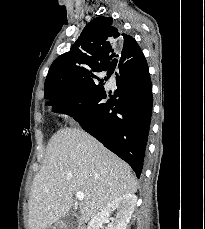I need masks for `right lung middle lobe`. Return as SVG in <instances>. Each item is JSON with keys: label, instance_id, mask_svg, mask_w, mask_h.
I'll return each mask as SVG.
<instances>
[{"label": "right lung middle lobe", "instance_id": "right-lung-middle-lobe-1", "mask_svg": "<svg viewBox=\"0 0 205 229\" xmlns=\"http://www.w3.org/2000/svg\"><path fill=\"white\" fill-rule=\"evenodd\" d=\"M107 80V77H104V79L101 78H96L92 83L90 84H82L78 87V89L76 90V92L70 94L69 96H65L63 97V101L69 100L71 97L76 96L78 94H81L82 92H85L91 88L97 87V86H103L104 82Z\"/></svg>", "mask_w": 205, "mask_h": 229}]
</instances>
